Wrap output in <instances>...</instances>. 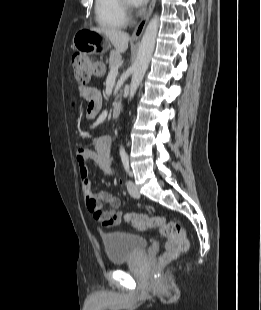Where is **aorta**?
Returning a JSON list of instances; mask_svg holds the SVG:
<instances>
[{
    "label": "aorta",
    "instance_id": "aorta-1",
    "mask_svg": "<svg viewBox=\"0 0 261 310\" xmlns=\"http://www.w3.org/2000/svg\"><path fill=\"white\" fill-rule=\"evenodd\" d=\"M158 26H159V17L158 15H154V17L150 20L145 29L142 40L139 45L137 58L133 65V74L131 78L130 92H129L130 100L134 97L148 69L150 59L152 57L155 47ZM120 155L121 156L125 155V149L122 146L120 147Z\"/></svg>",
    "mask_w": 261,
    "mask_h": 310
}]
</instances>
